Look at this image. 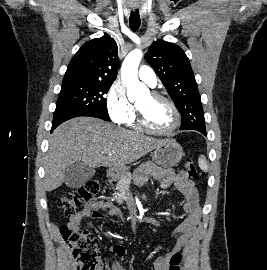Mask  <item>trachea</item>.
Wrapping results in <instances>:
<instances>
[{
  "mask_svg": "<svg viewBox=\"0 0 267 270\" xmlns=\"http://www.w3.org/2000/svg\"><path fill=\"white\" fill-rule=\"evenodd\" d=\"M141 24L140 16H139V11H132L130 14V19H129V26L132 31H136L139 29Z\"/></svg>",
  "mask_w": 267,
  "mask_h": 270,
  "instance_id": "1",
  "label": "trachea"
}]
</instances>
